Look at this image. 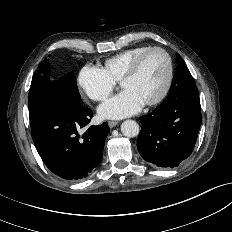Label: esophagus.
<instances>
[{"label":"esophagus","instance_id":"1","mask_svg":"<svg viewBox=\"0 0 232 232\" xmlns=\"http://www.w3.org/2000/svg\"><path fill=\"white\" fill-rule=\"evenodd\" d=\"M108 125H109L110 128H113V127L118 125V122L117 121H109Z\"/></svg>","mask_w":232,"mask_h":232}]
</instances>
